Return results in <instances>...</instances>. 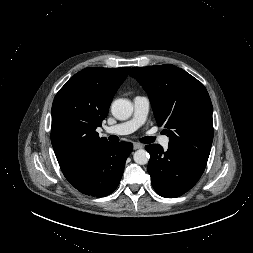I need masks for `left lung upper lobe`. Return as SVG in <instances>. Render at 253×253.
<instances>
[{
    "label": "left lung upper lobe",
    "mask_w": 253,
    "mask_h": 253,
    "mask_svg": "<svg viewBox=\"0 0 253 253\" xmlns=\"http://www.w3.org/2000/svg\"><path fill=\"white\" fill-rule=\"evenodd\" d=\"M129 74L147 91L158 126L168 132V147L207 162L213 121L204 85L171 64L134 67Z\"/></svg>",
    "instance_id": "5c2ea615"
}]
</instances>
